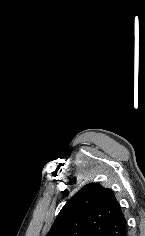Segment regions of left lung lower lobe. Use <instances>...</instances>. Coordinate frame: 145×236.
Listing matches in <instances>:
<instances>
[{
	"label": "left lung lower lobe",
	"instance_id": "1",
	"mask_svg": "<svg viewBox=\"0 0 145 236\" xmlns=\"http://www.w3.org/2000/svg\"><path fill=\"white\" fill-rule=\"evenodd\" d=\"M127 235V232H125L124 234H123V236H126Z\"/></svg>",
	"mask_w": 145,
	"mask_h": 236
}]
</instances>
